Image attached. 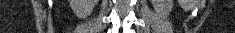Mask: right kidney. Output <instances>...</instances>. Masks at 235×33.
Instances as JSON below:
<instances>
[{
  "label": "right kidney",
  "instance_id": "ca27d5eb",
  "mask_svg": "<svg viewBox=\"0 0 235 33\" xmlns=\"http://www.w3.org/2000/svg\"><path fill=\"white\" fill-rule=\"evenodd\" d=\"M98 0H71L70 5L78 16H86L91 13Z\"/></svg>",
  "mask_w": 235,
  "mask_h": 33
}]
</instances>
